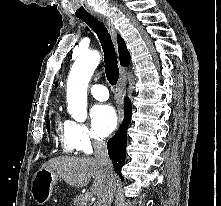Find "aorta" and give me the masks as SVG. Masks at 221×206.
I'll use <instances>...</instances> for the list:
<instances>
[{"instance_id": "aorta-1", "label": "aorta", "mask_w": 221, "mask_h": 206, "mask_svg": "<svg viewBox=\"0 0 221 206\" xmlns=\"http://www.w3.org/2000/svg\"><path fill=\"white\" fill-rule=\"evenodd\" d=\"M100 62L98 51L79 53L67 80L68 112L77 121L87 118L88 83Z\"/></svg>"}]
</instances>
